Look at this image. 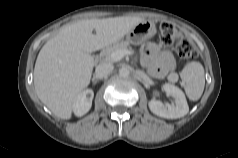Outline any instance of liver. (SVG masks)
<instances>
[{
    "label": "liver",
    "mask_w": 238,
    "mask_h": 158,
    "mask_svg": "<svg viewBox=\"0 0 238 158\" xmlns=\"http://www.w3.org/2000/svg\"><path fill=\"white\" fill-rule=\"evenodd\" d=\"M142 21L114 17L62 26L41 48L35 63L34 86L41 102L57 117L70 119L78 96L91 80L94 58L89 53L121 40Z\"/></svg>",
    "instance_id": "liver-1"
}]
</instances>
